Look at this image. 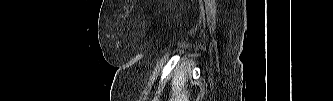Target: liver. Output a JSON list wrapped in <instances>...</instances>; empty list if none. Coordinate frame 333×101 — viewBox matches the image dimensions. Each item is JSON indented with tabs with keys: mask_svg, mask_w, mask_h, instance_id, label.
Listing matches in <instances>:
<instances>
[{
	"mask_svg": "<svg viewBox=\"0 0 333 101\" xmlns=\"http://www.w3.org/2000/svg\"><path fill=\"white\" fill-rule=\"evenodd\" d=\"M187 72L188 70L186 69L176 71L171 83L172 94L170 101H188L190 93L186 90L188 81Z\"/></svg>",
	"mask_w": 333,
	"mask_h": 101,
	"instance_id": "6515ba94",
	"label": "liver"
}]
</instances>
